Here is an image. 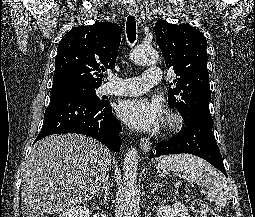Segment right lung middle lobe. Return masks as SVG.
Instances as JSON below:
<instances>
[{"mask_svg":"<svg viewBox=\"0 0 255 217\" xmlns=\"http://www.w3.org/2000/svg\"><path fill=\"white\" fill-rule=\"evenodd\" d=\"M96 88L97 87H89V86L77 85V84H67V85L52 87L50 94L51 95H53V94H72V95L80 96L90 102L104 103L103 100H100L96 96V92H95Z\"/></svg>","mask_w":255,"mask_h":217,"instance_id":"dd1d6c3e","label":"right lung middle lobe"}]
</instances>
